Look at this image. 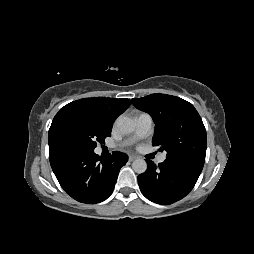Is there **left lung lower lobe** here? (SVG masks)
Instances as JSON below:
<instances>
[{"instance_id":"left-lung-lower-lobe-1","label":"left lung lower lobe","mask_w":254,"mask_h":254,"mask_svg":"<svg viewBox=\"0 0 254 254\" xmlns=\"http://www.w3.org/2000/svg\"><path fill=\"white\" fill-rule=\"evenodd\" d=\"M148 169L138 176L143 195L152 202L168 205L184 198L196 184L204 163L189 158L166 159L158 166L146 159Z\"/></svg>"}]
</instances>
